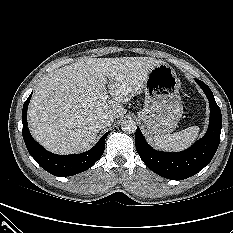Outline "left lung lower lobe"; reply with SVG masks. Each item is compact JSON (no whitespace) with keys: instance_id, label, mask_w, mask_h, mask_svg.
Masks as SVG:
<instances>
[{"instance_id":"obj_1","label":"left lung lower lobe","mask_w":233,"mask_h":233,"mask_svg":"<svg viewBox=\"0 0 233 233\" xmlns=\"http://www.w3.org/2000/svg\"><path fill=\"white\" fill-rule=\"evenodd\" d=\"M209 100V127L200 140L185 151L167 153L156 151L145 141L139 128L135 134L136 150L145 165L156 174L171 180H183L198 173L212 160L220 143L222 116L213 93L202 81L195 79Z\"/></svg>"}]
</instances>
